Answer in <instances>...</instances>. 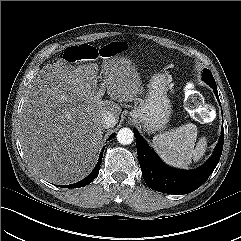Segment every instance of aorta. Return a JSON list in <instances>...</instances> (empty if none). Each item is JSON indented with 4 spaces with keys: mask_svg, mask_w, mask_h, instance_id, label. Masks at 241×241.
Returning <instances> with one entry per match:
<instances>
[{
    "mask_svg": "<svg viewBox=\"0 0 241 241\" xmlns=\"http://www.w3.org/2000/svg\"><path fill=\"white\" fill-rule=\"evenodd\" d=\"M117 141L123 145H129L134 140V133L130 128H122L117 133Z\"/></svg>",
    "mask_w": 241,
    "mask_h": 241,
    "instance_id": "aorta-1",
    "label": "aorta"
}]
</instances>
